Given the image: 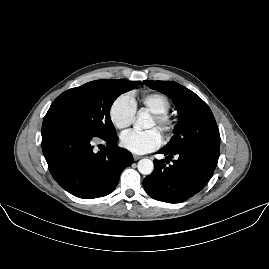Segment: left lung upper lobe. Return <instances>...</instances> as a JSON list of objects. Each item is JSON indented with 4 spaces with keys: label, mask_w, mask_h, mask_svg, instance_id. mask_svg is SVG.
<instances>
[{
    "label": "left lung upper lobe",
    "mask_w": 269,
    "mask_h": 269,
    "mask_svg": "<svg viewBox=\"0 0 269 269\" xmlns=\"http://www.w3.org/2000/svg\"><path fill=\"white\" fill-rule=\"evenodd\" d=\"M144 83L171 98L178 111L174 136L165 148L206 150L219 155L220 137L215 118L199 96L172 81L145 80Z\"/></svg>",
    "instance_id": "left-lung-upper-lobe-1"
}]
</instances>
